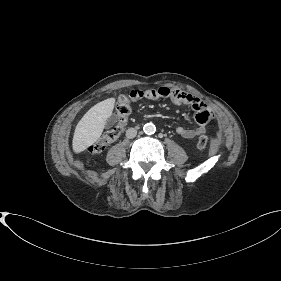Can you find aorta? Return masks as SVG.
Here are the masks:
<instances>
[{
  "label": "aorta",
  "instance_id": "aorta-1",
  "mask_svg": "<svg viewBox=\"0 0 281 281\" xmlns=\"http://www.w3.org/2000/svg\"><path fill=\"white\" fill-rule=\"evenodd\" d=\"M143 131H144V133H146L148 135H151V134L155 133L156 127H155V125L153 123H146L143 126Z\"/></svg>",
  "mask_w": 281,
  "mask_h": 281
}]
</instances>
